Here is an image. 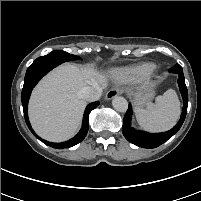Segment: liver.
I'll list each match as a JSON object with an SVG mask.
<instances>
[{
  "label": "liver",
  "mask_w": 201,
  "mask_h": 201,
  "mask_svg": "<svg viewBox=\"0 0 201 201\" xmlns=\"http://www.w3.org/2000/svg\"><path fill=\"white\" fill-rule=\"evenodd\" d=\"M107 85V77L93 66L63 64L44 77L32 92L28 115L42 138L61 142L79 129L87 104L85 87Z\"/></svg>",
  "instance_id": "liver-1"
}]
</instances>
